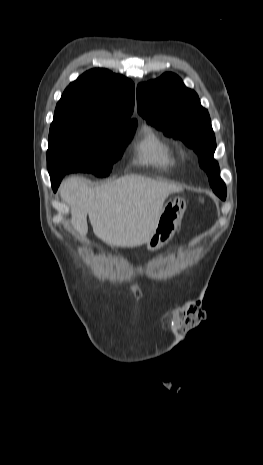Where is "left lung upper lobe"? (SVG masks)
Masks as SVG:
<instances>
[{
  "mask_svg": "<svg viewBox=\"0 0 263 465\" xmlns=\"http://www.w3.org/2000/svg\"><path fill=\"white\" fill-rule=\"evenodd\" d=\"M137 110L148 123L163 130L165 135L182 140L202 159H213L216 149L208 111L198 95L187 88L173 73L137 86ZM216 195L226 199V186L220 174L209 177Z\"/></svg>",
  "mask_w": 263,
  "mask_h": 465,
  "instance_id": "obj_1",
  "label": "left lung upper lobe"
}]
</instances>
